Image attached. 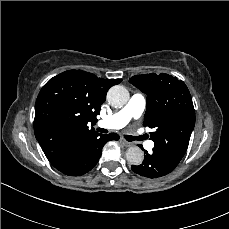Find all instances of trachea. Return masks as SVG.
<instances>
[{
  "label": "trachea",
  "instance_id": "1",
  "mask_svg": "<svg viewBox=\"0 0 229 229\" xmlns=\"http://www.w3.org/2000/svg\"><path fill=\"white\" fill-rule=\"evenodd\" d=\"M97 131L100 132V133H108V130L107 129H103V128H98ZM127 137L128 136H125V138L128 140Z\"/></svg>",
  "mask_w": 229,
  "mask_h": 229
}]
</instances>
